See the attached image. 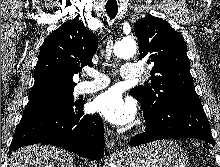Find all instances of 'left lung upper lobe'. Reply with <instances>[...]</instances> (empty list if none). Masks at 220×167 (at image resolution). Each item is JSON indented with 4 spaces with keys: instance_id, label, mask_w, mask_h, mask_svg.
<instances>
[{
    "instance_id": "1",
    "label": "left lung upper lobe",
    "mask_w": 220,
    "mask_h": 167,
    "mask_svg": "<svg viewBox=\"0 0 220 167\" xmlns=\"http://www.w3.org/2000/svg\"><path fill=\"white\" fill-rule=\"evenodd\" d=\"M139 44V59L149 58L153 64L150 81L146 86L130 90L142 106L148 109L160 107L167 99L199 100L183 37L165 20L146 15L135 24Z\"/></svg>"
}]
</instances>
